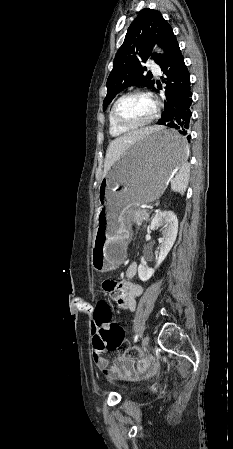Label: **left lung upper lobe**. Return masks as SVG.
<instances>
[{"label":"left lung upper lobe","mask_w":233,"mask_h":449,"mask_svg":"<svg viewBox=\"0 0 233 449\" xmlns=\"http://www.w3.org/2000/svg\"><path fill=\"white\" fill-rule=\"evenodd\" d=\"M154 44L164 49V56L152 53L151 45ZM178 48L171 26L159 11L148 8L139 11L115 56L113 69L107 79L103 110L105 111L113 98L127 87L141 85L155 89L154 82L143 75L146 68H143L141 63L153 59L161 67Z\"/></svg>","instance_id":"left-lung-upper-lobe-1"}]
</instances>
